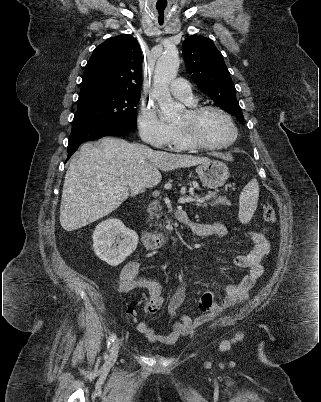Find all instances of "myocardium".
Wrapping results in <instances>:
<instances>
[{"label":"myocardium","mask_w":321,"mask_h":402,"mask_svg":"<svg viewBox=\"0 0 321 402\" xmlns=\"http://www.w3.org/2000/svg\"><path fill=\"white\" fill-rule=\"evenodd\" d=\"M213 110L216 111L220 114H222L229 124L231 125L232 128V137L223 143L220 144H208L204 141H202L195 133L194 128L192 126H181L177 125V129L180 131L183 139L186 141L187 144L192 146L193 148L197 149H202V150H220L227 148L231 145H233L237 138H238V127L231 116L230 113H228L225 109H223L220 106L217 105H212V104H207V105H197V106H192L190 107L187 111L190 114L192 118H197L200 116L202 113Z\"/></svg>","instance_id":"1"}]
</instances>
